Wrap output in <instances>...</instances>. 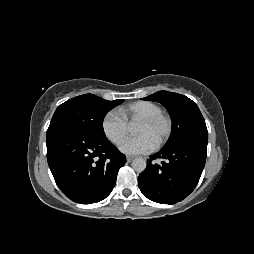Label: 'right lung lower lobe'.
<instances>
[{"label": "right lung lower lobe", "instance_id": "obj_1", "mask_svg": "<svg viewBox=\"0 0 254 254\" xmlns=\"http://www.w3.org/2000/svg\"><path fill=\"white\" fill-rule=\"evenodd\" d=\"M47 161L56 184L72 201L105 199L126 157L106 137L67 124H52L46 135Z\"/></svg>", "mask_w": 254, "mask_h": 254}]
</instances>
